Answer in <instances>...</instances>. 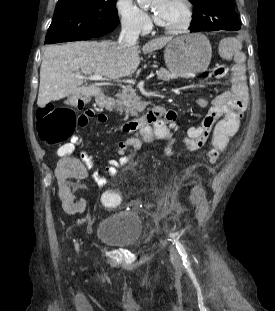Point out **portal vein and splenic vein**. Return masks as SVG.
Listing matches in <instances>:
<instances>
[{"label":"portal vein and splenic vein","mask_w":275,"mask_h":311,"mask_svg":"<svg viewBox=\"0 0 275 311\" xmlns=\"http://www.w3.org/2000/svg\"><path fill=\"white\" fill-rule=\"evenodd\" d=\"M155 74H150L148 76V78H152L154 77ZM78 78H81V79H86V80H90V81H106L107 79L104 78L102 75H90V76H85V75H77ZM120 82H124V83H129V84H134L135 83V80L133 79H124Z\"/></svg>","instance_id":"obj_1"}]
</instances>
